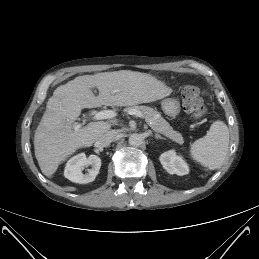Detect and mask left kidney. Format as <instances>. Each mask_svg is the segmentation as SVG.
Segmentation results:
<instances>
[{"label": "left kidney", "mask_w": 259, "mask_h": 259, "mask_svg": "<svg viewBox=\"0 0 259 259\" xmlns=\"http://www.w3.org/2000/svg\"><path fill=\"white\" fill-rule=\"evenodd\" d=\"M159 160L163 168L170 174L182 176L189 172L187 163L182 159V157L176 155L174 150L162 153Z\"/></svg>", "instance_id": "obj_1"}]
</instances>
